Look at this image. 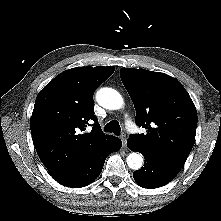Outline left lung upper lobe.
Segmentation results:
<instances>
[{
  "mask_svg": "<svg viewBox=\"0 0 221 221\" xmlns=\"http://www.w3.org/2000/svg\"><path fill=\"white\" fill-rule=\"evenodd\" d=\"M121 80L136 110V123L147 131L128 140L181 168L194 142L197 111L175 78L160 72L124 68Z\"/></svg>",
  "mask_w": 221,
  "mask_h": 221,
  "instance_id": "5c2ea615",
  "label": "left lung upper lobe"
}]
</instances>
